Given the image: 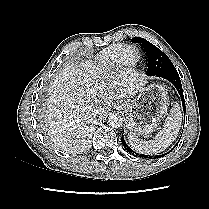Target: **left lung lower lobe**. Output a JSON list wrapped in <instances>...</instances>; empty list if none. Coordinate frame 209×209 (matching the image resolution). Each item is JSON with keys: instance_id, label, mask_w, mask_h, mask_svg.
<instances>
[{"instance_id": "left-lung-lower-lobe-1", "label": "left lung lower lobe", "mask_w": 209, "mask_h": 209, "mask_svg": "<svg viewBox=\"0 0 209 209\" xmlns=\"http://www.w3.org/2000/svg\"><path fill=\"white\" fill-rule=\"evenodd\" d=\"M158 77H162L168 81H170L177 89V91L180 94L181 100H182V106H183V110H184V116H185V100H184V95H183V90H182V85H181V81H180V77L179 74L177 72L176 69H171V70H165L163 72L158 73L157 75ZM122 144L124 146V148L126 149V151L132 155H138L139 157H143V158H147V159H156V158H160L163 157L165 155H167L169 152L162 154V155H156V156H151V155H139L138 153L134 152L132 149H130V147H128V145L126 144L123 135H122ZM176 146V145H175ZM174 146V147H175ZM173 149V148H172ZM172 150H170L171 152Z\"/></svg>"}]
</instances>
